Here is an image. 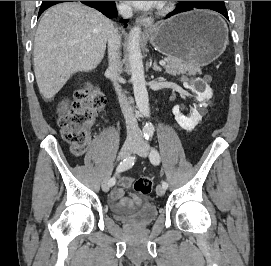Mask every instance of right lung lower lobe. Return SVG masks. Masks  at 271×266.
Instances as JSON below:
<instances>
[{"label": "right lung lower lobe", "mask_w": 271, "mask_h": 266, "mask_svg": "<svg viewBox=\"0 0 271 266\" xmlns=\"http://www.w3.org/2000/svg\"><path fill=\"white\" fill-rule=\"evenodd\" d=\"M66 2V1H42L39 15L45 11L47 8H49L52 5ZM81 2L87 6L93 7L100 12H102L105 16L109 18H113L116 16V9H115V1H77ZM122 23H124L125 27L127 26L128 20H121Z\"/></svg>", "instance_id": "obj_1"}]
</instances>
